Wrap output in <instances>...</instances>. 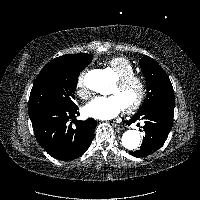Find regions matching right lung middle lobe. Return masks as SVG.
<instances>
[{"mask_svg": "<svg viewBox=\"0 0 200 200\" xmlns=\"http://www.w3.org/2000/svg\"><path fill=\"white\" fill-rule=\"evenodd\" d=\"M91 58L89 54L82 53L73 65L58 72H40L30 93L29 112L53 107H74L76 104L73 98L78 76L91 63Z\"/></svg>", "mask_w": 200, "mask_h": 200, "instance_id": "dd1d6c3e", "label": "right lung middle lobe"}]
</instances>
